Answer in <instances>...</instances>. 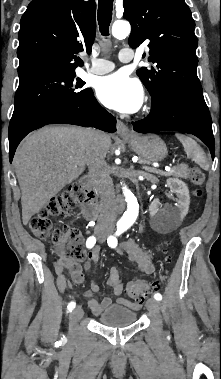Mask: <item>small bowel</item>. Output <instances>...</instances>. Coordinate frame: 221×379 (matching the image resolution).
<instances>
[{
	"mask_svg": "<svg viewBox=\"0 0 221 379\" xmlns=\"http://www.w3.org/2000/svg\"><path fill=\"white\" fill-rule=\"evenodd\" d=\"M118 251L122 254H126L128 259L135 263L141 272L145 274H151L154 272V265L152 261L134 241V239H128L122 243ZM59 255L62 258L61 250H59ZM98 258L99 248L95 247L88 253V260L84 265L85 269H90L92 264L97 263ZM66 265L70 271L71 280L76 284L82 283L84 281V274L79 261L69 260L66 262ZM55 270L57 273L58 286L60 290L64 292L69 287L70 282L63 273V265L61 264V261L55 263ZM107 287L113 296H106L101 301H98L92 297L93 293L99 291V286L95 281H91L90 290L85 293V297L87 298V306L94 315H99L106 307L111 305L114 300L113 297H116V301L120 304L133 308L138 306L135 303H131L130 301L119 297L124 291L125 284L120 277L118 268L115 266H112L109 270Z\"/></svg>",
	"mask_w": 221,
	"mask_h": 379,
	"instance_id": "c3829d8e",
	"label": "small bowel"
}]
</instances>
